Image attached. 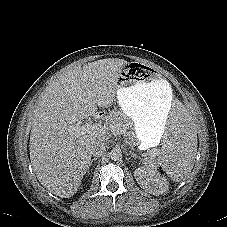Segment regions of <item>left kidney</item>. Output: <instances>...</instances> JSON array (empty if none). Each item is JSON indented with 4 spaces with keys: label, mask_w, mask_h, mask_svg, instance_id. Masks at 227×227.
Segmentation results:
<instances>
[{
    "label": "left kidney",
    "mask_w": 227,
    "mask_h": 227,
    "mask_svg": "<svg viewBox=\"0 0 227 227\" xmlns=\"http://www.w3.org/2000/svg\"><path fill=\"white\" fill-rule=\"evenodd\" d=\"M134 175L140 187L150 194L162 195L169 190L167 179L160 173L149 174L140 167L135 170Z\"/></svg>",
    "instance_id": "obj_1"
}]
</instances>
